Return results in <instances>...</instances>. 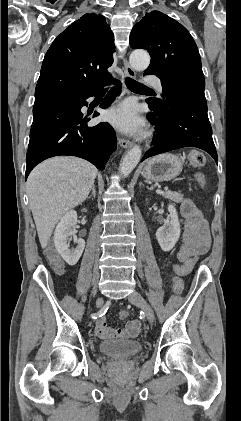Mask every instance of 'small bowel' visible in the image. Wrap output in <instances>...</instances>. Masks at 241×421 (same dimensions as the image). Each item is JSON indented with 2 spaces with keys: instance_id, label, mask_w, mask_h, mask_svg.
I'll list each match as a JSON object with an SVG mask.
<instances>
[{
  "instance_id": "1",
  "label": "small bowel",
  "mask_w": 241,
  "mask_h": 421,
  "mask_svg": "<svg viewBox=\"0 0 241 421\" xmlns=\"http://www.w3.org/2000/svg\"><path fill=\"white\" fill-rule=\"evenodd\" d=\"M181 213L185 219L182 234V245L177 253L180 261L205 254L211 243L210 232L200 210L190 199L181 203ZM138 320L129 321L124 328H111L107 326L105 316L98 318L95 333L101 339H133L140 332Z\"/></svg>"
}]
</instances>
